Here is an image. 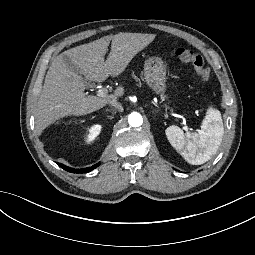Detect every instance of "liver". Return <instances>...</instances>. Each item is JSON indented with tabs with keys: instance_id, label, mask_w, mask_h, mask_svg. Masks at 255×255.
<instances>
[{
	"instance_id": "6515ba94",
	"label": "liver",
	"mask_w": 255,
	"mask_h": 255,
	"mask_svg": "<svg viewBox=\"0 0 255 255\" xmlns=\"http://www.w3.org/2000/svg\"><path fill=\"white\" fill-rule=\"evenodd\" d=\"M155 38L156 34L117 33L76 46L54 58L37 102V135L40 136L46 128L66 117H82L102 109L112 100L123 98L126 88L122 84L113 90V94L105 97L87 95L84 93L85 80L103 82L109 76H121L133 58ZM110 42L111 52L104 62Z\"/></svg>"
}]
</instances>
